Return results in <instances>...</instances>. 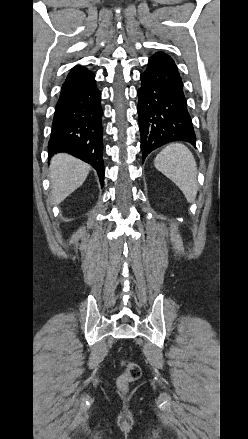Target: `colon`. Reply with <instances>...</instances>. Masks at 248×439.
Here are the masks:
<instances>
[{"mask_svg":"<svg viewBox=\"0 0 248 439\" xmlns=\"http://www.w3.org/2000/svg\"><path fill=\"white\" fill-rule=\"evenodd\" d=\"M124 372L118 378V388L121 392H126L130 383L141 377L142 371L138 364L133 362H123Z\"/></svg>","mask_w":248,"mask_h":439,"instance_id":"colon-1","label":"colon"}]
</instances>
